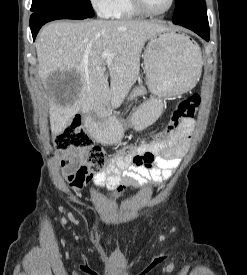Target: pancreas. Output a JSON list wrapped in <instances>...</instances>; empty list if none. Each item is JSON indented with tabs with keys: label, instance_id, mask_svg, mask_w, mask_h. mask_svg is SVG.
<instances>
[{
	"label": "pancreas",
	"instance_id": "pancreas-1",
	"mask_svg": "<svg viewBox=\"0 0 247 275\" xmlns=\"http://www.w3.org/2000/svg\"><path fill=\"white\" fill-rule=\"evenodd\" d=\"M144 94H146V89L143 86L135 87L133 89V91L131 92L128 100H132V99L136 98L137 96H141Z\"/></svg>",
	"mask_w": 247,
	"mask_h": 275
}]
</instances>
